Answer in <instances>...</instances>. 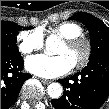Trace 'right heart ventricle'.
I'll use <instances>...</instances> for the list:
<instances>
[{
	"instance_id": "obj_1",
	"label": "right heart ventricle",
	"mask_w": 109,
	"mask_h": 109,
	"mask_svg": "<svg viewBox=\"0 0 109 109\" xmlns=\"http://www.w3.org/2000/svg\"><path fill=\"white\" fill-rule=\"evenodd\" d=\"M50 32L52 34L59 35L63 39H66L83 34V29L75 22H62L50 27Z\"/></svg>"
}]
</instances>
